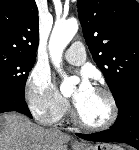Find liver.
I'll return each mask as SVG.
<instances>
[{
	"label": "liver",
	"mask_w": 139,
	"mask_h": 150,
	"mask_svg": "<svg viewBox=\"0 0 139 150\" xmlns=\"http://www.w3.org/2000/svg\"><path fill=\"white\" fill-rule=\"evenodd\" d=\"M70 136L44 129L17 113L0 115V150H66Z\"/></svg>",
	"instance_id": "obj_1"
}]
</instances>
